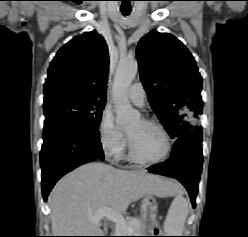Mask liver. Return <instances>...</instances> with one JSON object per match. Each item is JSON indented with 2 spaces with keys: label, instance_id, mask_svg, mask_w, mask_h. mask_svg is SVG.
<instances>
[{
  "label": "liver",
  "instance_id": "liver-1",
  "mask_svg": "<svg viewBox=\"0 0 248 237\" xmlns=\"http://www.w3.org/2000/svg\"><path fill=\"white\" fill-rule=\"evenodd\" d=\"M172 194L179 188L160 176L141 170H121L102 163L80 166L53 188L48 202L53 236H102L91 216L103 207L120 214L147 195Z\"/></svg>",
  "mask_w": 248,
  "mask_h": 237
}]
</instances>
